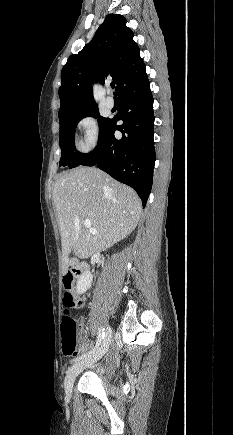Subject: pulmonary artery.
<instances>
[{"instance_id":"1","label":"pulmonary artery","mask_w":233,"mask_h":435,"mask_svg":"<svg viewBox=\"0 0 233 435\" xmlns=\"http://www.w3.org/2000/svg\"><path fill=\"white\" fill-rule=\"evenodd\" d=\"M105 104L108 108H113L115 106V101L112 96L108 95L105 100Z\"/></svg>"}]
</instances>
